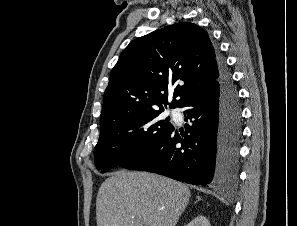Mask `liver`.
<instances>
[{
  "label": "liver",
  "instance_id": "1",
  "mask_svg": "<svg viewBox=\"0 0 297 226\" xmlns=\"http://www.w3.org/2000/svg\"><path fill=\"white\" fill-rule=\"evenodd\" d=\"M190 196L186 185L167 177L116 171L99 188L97 226H175Z\"/></svg>",
  "mask_w": 297,
  "mask_h": 226
}]
</instances>
